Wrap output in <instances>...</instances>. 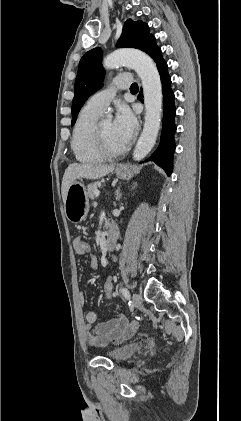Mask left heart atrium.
I'll return each mask as SVG.
<instances>
[{
	"mask_svg": "<svg viewBox=\"0 0 241 421\" xmlns=\"http://www.w3.org/2000/svg\"><path fill=\"white\" fill-rule=\"evenodd\" d=\"M116 134L124 144L131 141L137 130V120L126 105H120L113 122Z\"/></svg>",
	"mask_w": 241,
	"mask_h": 421,
	"instance_id": "obj_1",
	"label": "left heart atrium"
}]
</instances>
